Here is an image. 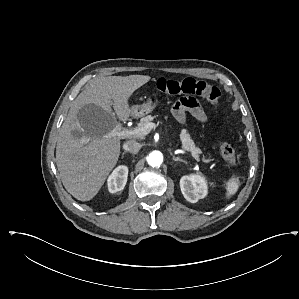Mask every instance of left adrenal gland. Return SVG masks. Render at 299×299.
Returning <instances> with one entry per match:
<instances>
[{
  "label": "left adrenal gland",
  "instance_id": "obj_1",
  "mask_svg": "<svg viewBox=\"0 0 299 299\" xmlns=\"http://www.w3.org/2000/svg\"><path fill=\"white\" fill-rule=\"evenodd\" d=\"M173 160H174V161H180V162L187 163L185 160L181 159L180 157H175V156H173Z\"/></svg>",
  "mask_w": 299,
  "mask_h": 299
}]
</instances>
